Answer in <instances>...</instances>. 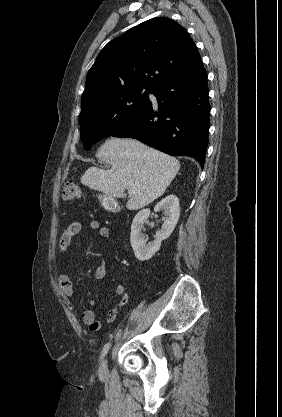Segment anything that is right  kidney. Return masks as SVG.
Segmentation results:
<instances>
[{"mask_svg":"<svg viewBox=\"0 0 282 417\" xmlns=\"http://www.w3.org/2000/svg\"><path fill=\"white\" fill-rule=\"evenodd\" d=\"M154 211H164L165 221L161 231H157L155 241L146 245V239L142 233L143 225L150 215L149 209H142L133 219L130 233V243L134 255L138 261H149L161 247V241L168 239L174 231L180 217V204L176 194H168L157 202Z\"/></svg>","mask_w":282,"mask_h":417,"instance_id":"1","label":"right kidney"}]
</instances>
